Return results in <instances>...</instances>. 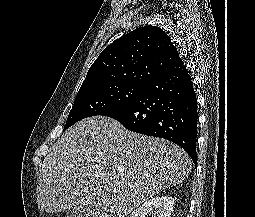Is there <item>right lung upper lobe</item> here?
<instances>
[{
    "instance_id": "obj_1",
    "label": "right lung upper lobe",
    "mask_w": 255,
    "mask_h": 217,
    "mask_svg": "<svg viewBox=\"0 0 255 217\" xmlns=\"http://www.w3.org/2000/svg\"><path fill=\"white\" fill-rule=\"evenodd\" d=\"M183 66L177 48L166 32L155 26L140 27L102 51L79 92L102 85H148Z\"/></svg>"
}]
</instances>
